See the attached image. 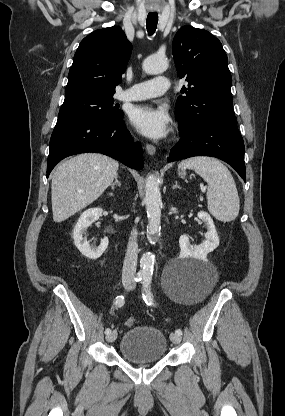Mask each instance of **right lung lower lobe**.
I'll return each mask as SVG.
<instances>
[{
  "instance_id": "98d812e1",
  "label": "right lung lower lobe",
  "mask_w": 285,
  "mask_h": 416,
  "mask_svg": "<svg viewBox=\"0 0 285 416\" xmlns=\"http://www.w3.org/2000/svg\"><path fill=\"white\" fill-rule=\"evenodd\" d=\"M95 152L110 156L133 169L143 168L142 149L122 119L57 122L50 139L47 177L65 157Z\"/></svg>"
}]
</instances>
